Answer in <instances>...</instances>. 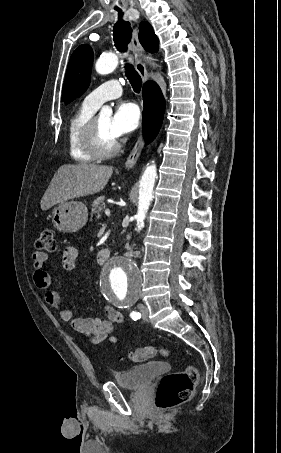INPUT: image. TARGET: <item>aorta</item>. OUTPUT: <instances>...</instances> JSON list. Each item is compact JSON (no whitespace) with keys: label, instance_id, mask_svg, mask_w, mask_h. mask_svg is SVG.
Wrapping results in <instances>:
<instances>
[{"label":"aorta","instance_id":"obj_1","mask_svg":"<svg viewBox=\"0 0 281 453\" xmlns=\"http://www.w3.org/2000/svg\"><path fill=\"white\" fill-rule=\"evenodd\" d=\"M118 65V57L113 54L101 56L96 64V71L101 74L113 72ZM112 109L104 106L101 117H110ZM157 171L155 164L148 165L139 181L138 211L134 218L137 220L138 229L143 228L144 219L153 198ZM142 277L135 262L125 258L109 260L100 275V291L106 301L112 305L120 306L134 303L141 292Z\"/></svg>","mask_w":281,"mask_h":453}]
</instances>
